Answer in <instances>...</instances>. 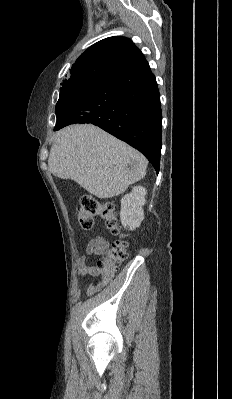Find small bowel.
I'll return each mask as SVG.
<instances>
[{
    "instance_id": "small-bowel-1",
    "label": "small bowel",
    "mask_w": 232,
    "mask_h": 399,
    "mask_svg": "<svg viewBox=\"0 0 232 399\" xmlns=\"http://www.w3.org/2000/svg\"><path fill=\"white\" fill-rule=\"evenodd\" d=\"M106 245L103 243H98L97 241L90 240L87 243L86 252L82 255L77 263V274L81 277L89 278L94 276L95 270L94 268L87 264L86 260L93 256H99L105 250ZM94 292V285L92 282H89L86 287V294L88 296L92 295Z\"/></svg>"
}]
</instances>
